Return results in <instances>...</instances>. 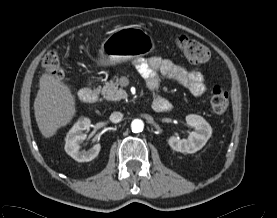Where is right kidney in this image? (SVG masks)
Listing matches in <instances>:
<instances>
[{
    "mask_svg": "<svg viewBox=\"0 0 277 218\" xmlns=\"http://www.w3.org/2000/svg\"><path fill=\"white\" fill-rule=\"evenodd\" d=\"M91 121L89 118H80L67 133L65 138V151L78 162H89L100 152L101 145L95 144L89 150L80 151V144L86 139L85 130H89Z\"/></svg>",
    "mask_w": 277,
    "mask_h": 218,
    "instance_id": "ca27d5eb",
    "label": "right kidney"
}]
</instances>
